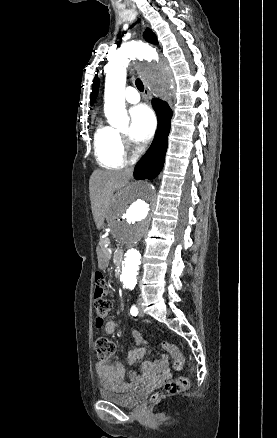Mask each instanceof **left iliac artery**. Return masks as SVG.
<instances>
[{
	"instance_id": "left-iliac-artery-1",
	"label": "left iliac artery",
	"mask_w": 277,
	"mask_h": 438,
	"mask_svg": "<svg viewBox=\"0 0 277 438\" xmlns=\"http://www.w3.org/2000/svg\"><path fill=\"white\" fill-rule=\"evenodd\" d=\"M130 313L132 314V316H137L138 315V309H137L136 305H133L131 307Z\"/></svg>"
}]
</instances>
